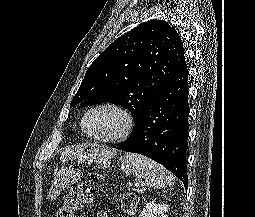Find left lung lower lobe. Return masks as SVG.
Listing matches in <instances>:
<instances>
[{
	"label": "left lung lower lobe",
	"instance_id": "0a47b994",
	"mask_svg": "<svg viewBox=\"0 0 255 217\" xmlns=\"http://www.w3.org/2000/svg\"><path fill=\"white\" fill-rule=\"evenodd\" d=\"M188 75L184 62L154 96L129 138L117 147L160 163L175 174L186 188Z\"/></svg>",
	"mask_w": 255,
	"mask_h": 217
}]
</instances>
